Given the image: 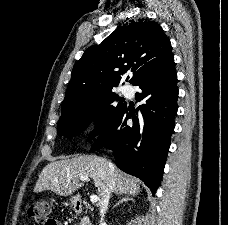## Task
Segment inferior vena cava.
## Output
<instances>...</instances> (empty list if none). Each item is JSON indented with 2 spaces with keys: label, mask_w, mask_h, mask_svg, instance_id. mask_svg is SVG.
Wrapping results in <instances>:
<instances>
[{
  "label": "inferior vena cava",
  "mask_w": 228,
  "mask_h": 225,
  "mask_svg": "<svg viewBox=\"0 0 228 225\" xmlns=\"http://www.w3.org/2000/svg\"><path fill=\"white\" fill-rule=\"evenodd\" d=\"M109 169H113V165L112 163H109ZM113 187H114V179H110V185H108V187H106L104 193H106V199H104L103 203H101L102 207L100 209V217H101V225H104V219L103 217H105L107 211H108V205H109V199H110V193H113Z\"/></svg>",
  "instance_id": "obj_1"
}]
</instances>
